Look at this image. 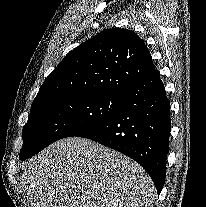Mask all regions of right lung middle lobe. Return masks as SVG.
<instances>
[{
    "label": "right lung middle lobe",
    "mask_w": 206,
    "mask_h": 207,
    "mask_svg": "<svg viewBox=\"0 0 206 207\" xmlns=\"http://www.w3.org/2000/svg\"><path fill=\"white\" fill-rule=\"evenodd\" d=\"M124 102V94H88L52 98L32 106L23 127L24 160L49 144L77 136L115 114Z\"/></svg>",
    "instance_id": "1"
}]
</instances>
